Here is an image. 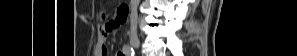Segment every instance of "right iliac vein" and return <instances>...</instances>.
Here are the masks:
<instances>
[{
	"instance_id": "1",
	"label": "right iliac vein",
	"mask_w": 297,
	"mask_h": 56,
	"mask_svg": "<svg viewBox=\"0 0 297 56\" xmlns=\"http://www.w3.org/2000/svg\"><path fill=\"white\" fill-rule=\"evenodd\" d=\"M130 44H131L133 47H135V48H139V46H140V41H139L138 37H137V36H131V38H130Z\"/></svg>"
}]
</instances>
